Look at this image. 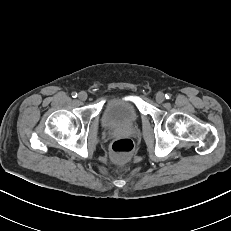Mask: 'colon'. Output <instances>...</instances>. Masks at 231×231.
I'll use <instances>...</instances> for the list:
<instances>
[{
    "label": "colon",
    "instance_id": "1",
    "mask_svg": "<svg viewBox=\"0 0 231 231\" xmlns=\"http://www.w3.org/2000/svg\"><path fill=\"white\" fill-rule=\"evenodd\" d=\"M134 143L129 138H119L111 144V153L115 160L118 162L126 161L132 154Z\"/></svg>",
    "mask_w": 231,
    "mask_h": 231
}]
</instances>
